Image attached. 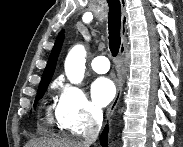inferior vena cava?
<instances>
[{
    "mask_svg": "<svg viewBox=\"0 0 183 147\" xmlns=\"http://www.w3.org/2000/svg\"><path fill=\"white\" fill-rule=\"evenodd\" d=\"M102 120H103L102 110L100 109L94 110L93 121L83 134L85 146L89 147L92 143L96 141L102 126Z\"/></svg>",
    "mask_w": 183,
    "mask_h": 147,
    "instance_id": "602c4592",
    "label": "inferior vena cava"
}]
</instances>
